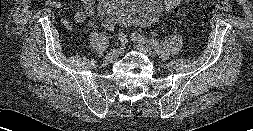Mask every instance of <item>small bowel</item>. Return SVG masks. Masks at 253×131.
<instances>
[{"label":"small bowel","mask_w":253,"mask_h":131,"mask_svg":"<svg viewBox=\"0 0 253 131\" xmlns=\"http://www.w3.org/2000/svg\"><path fill=\"white\" fill-rule=\"evenodd\" d=\"M83 3L84 10L78 11L74 14V21L76 23H83L87 19H93L96 15L95 10V2L96 0H81ZM52 5L56 8H61L63 4L60 1H55ZM88 25L94 27V23L92 21L88 22Z\"/></svg>","instance_id":"obj_1"}]
</instances>
